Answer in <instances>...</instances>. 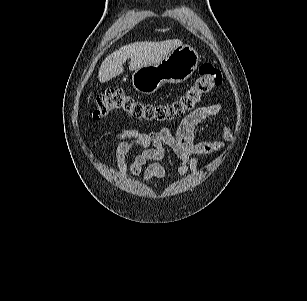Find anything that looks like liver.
Instances as JSON below:
<instances>
[{
	"label": "liver",
	"mask_w": 307,
	"mask_h": 301,
	"mask_svg": "<svg viewBox=\"0 0 307 301\" xmlns=\"http://www.w3.org/2000/svg\"><path fill=\"white\" fill-rule=\"evenodd\" d=\"M181 45V40L174 39L161 42H135L122 46L102 62L98 79L101 83H104L123 73V64L128 58L131 59L129 70L134 71L160 62Z\"/></svg>",
	"instance_id": "obj_1"
}]
</instances>
